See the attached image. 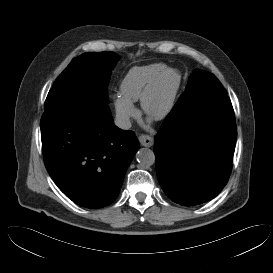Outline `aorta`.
<instances>
[{
  "instance_id": "obj_1",
  "label": "aorta",
  "mask_w": 273,
  "mask_h": 273,
  "mask_svg": "<svg viewBox=\"0 0 273 273\" xmlns=\"http://www.w3.org/2000/svg\"><path fill=\"white\" fill-rule=\"evenodd\" d=\"M136 159L142 167H150L155 163V154L151 149L141 148L136 154Z\"/></svg>"
}]
</instances>
